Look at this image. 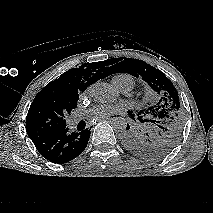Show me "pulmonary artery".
Instances as JSON below:
<instances>
[{
	"label": "pulmonary artery",
	"instance_id": "obj_1",
	"mask_svg": "<svg viewBox=\"0 0 213 213\" xmlns=\"http://www.w3.org/2000/svg\"><path fill=\"white\" fill-rule=\"evenodd\" d=\"M122 93H128L131 91V87L129 85H126V86H122L120 88H118ZM79 121V117L78 116H75L72 118V123L73 124H76L77 122Z\"/></svg>",
	"mask_w": 213,
	"mask_h": 213
}]
</instances>
